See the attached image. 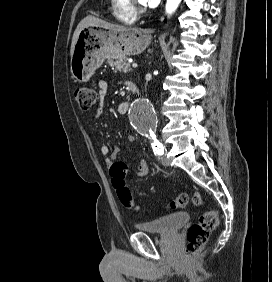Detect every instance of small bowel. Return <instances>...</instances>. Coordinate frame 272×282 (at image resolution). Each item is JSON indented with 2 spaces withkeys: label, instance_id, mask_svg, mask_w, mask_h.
Masks as SVG:
<instances>
[{
  "label": "small bowel",
  "instance_id": "1",
  "mask_svg": "<svg viewBox=\"0 0 272 282\" xmlns=\"http://www.w3.org/2000/svg\"><path fill=\"white\" fill-rule=\"evenodd\" d=\"M108 92V82L106 80H102L99 82V104L97 108L94 110V118L98 119L102 113L104 112V100ZM136 137L134 135L128 136L129 142H135ZM119 147L114 146L112 153L109 155V147L107 145H103L101 148V152L103 155H105V162L106 164L111 167L115 163V159L119 153ZM122 166L126 168V165L122 163ZM138 176L143 177L149 173V166L146 160L142 159L140 160L138 164Z\"/></svg>",
  "mask_w": 272,
  "mask_h": 282
}]
</instances>
